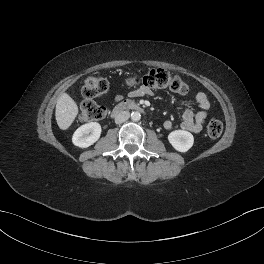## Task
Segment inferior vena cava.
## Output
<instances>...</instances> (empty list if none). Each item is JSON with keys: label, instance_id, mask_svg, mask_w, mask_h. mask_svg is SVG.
Listing matches in <instances>:
<instances>
[{"label": "inferior vena cava", "instance_id": "1", "mask_svg": "<svg viewBox=\"0 0 264 264\" xmlns=\"http://www.w3.org/2000/svg\"><path fill=\"white\" fill-rule=\"evenodd\" d=\"M129 117H130L129 111H122L116 115L115 123L121 124V123L127 121L129 119Z\"/></svg>", "mask_w": 264, "mask_h": 264}]
</instances>
